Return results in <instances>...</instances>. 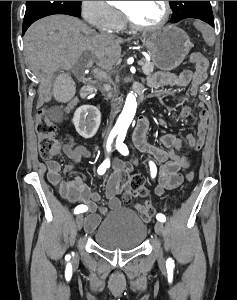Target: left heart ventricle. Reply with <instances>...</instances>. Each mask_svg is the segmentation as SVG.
Here are the masks:
<instances>
[{"instance_id": "1", "label": "left heart ventricle", "mask_w": 237, "mask_h": 300, "mask_svg": "<svg viewBox=\"0 0 237 300\" xmlns=\"http://www.w3.org/2000/svg\"><path fill=\"white\" fill-rule=\"evenodd\" d=\"M121 9L140 25H154L164 14L163 1H121Z\"/></svg>"}]
</instances>
